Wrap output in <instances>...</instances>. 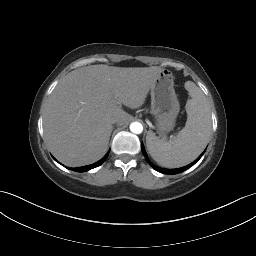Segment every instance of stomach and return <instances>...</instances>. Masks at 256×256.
I'll return each mask as SVG.
<instances>
[{"mask_svg": "<svg viewBox=\"0 0 256 256\" xmlns=\"http://www.w3.org/2000/svg\"><path fill=\"white\" fill-rule=\"evenodd\" d=\"M180 104L174 89L173 74L163 70L151 88V113L157 130L165 135L175 126Z\"/></svg>", "mask_w": 256, "mask_h": 256, "instance_id": "1", "label": "stomach"}]
</instances>
